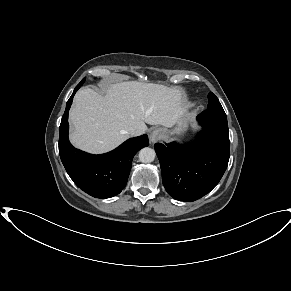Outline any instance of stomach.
<instances>
[{"instance_id": "0dacf381", "label": "stomach", "mask_w": 291, "mask_h": 291, "mask_svg": "<svg viewBox=\"0 0 291 291\" xmlns=\"http://www.w3.org/2000/svg\"><path fill=\"white\" fill-rule=\"evenodd\" d=\"M190 120H191V115L188 112H186L185 115L181 118V120L178 122L177 126L173 130L168 131L164 129L163 131L167 136L183 135L188 128V123L190 122Z\"/></svg>"}]
</instances>
